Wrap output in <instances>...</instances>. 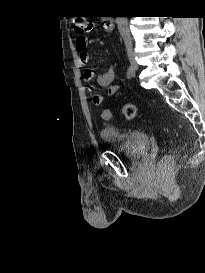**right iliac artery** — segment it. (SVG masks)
Here are the masks:
<instances>
[{"mask_svg":"<svg viewBox=\"0 0 205 273\" xmlns=\"http://www.w3.org/2000/svg\"><path fill=\"white\" fill-rule=\"evenodd\" d=\"M128 75H129V77H134L135 76V71L132 68V66L128 67Z\"/></svg>","mask_w":205,"mask_h":273,"instance_id":"right-iliac-artery-1","label":"right iliac artery"}]
</instances>
